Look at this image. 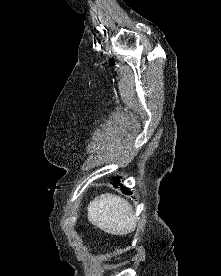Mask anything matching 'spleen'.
<instances>
[{"label": "spleen", "mask_w": 221, "mask_h": 276, "mask_svg": "<svg viewBox=\"0 0 221 276\" xmlns=\"http://www.w3.org/2000/svg\"><path fill=\"white\" fill-rule=\"evenodd\" d=\"M87 210L89 222L108 234L126 235L136 228L132 206L120 196L102 194L89 203Z\"/></svg>", "instance_id": "obj_1"}]
</instances>
